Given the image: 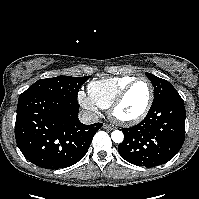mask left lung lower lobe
<instances>
[{
    "label": "left lung lower lobe",
    "instance_id": "obj_1",
    "mask_svg": "<svg viewBox=\"0 0 199 199\" xmlns=\"http://www.w3.org/2000/svg\"><path fill=\"white\" fill-rule=\"evenodd\" d=\"M185 107L180 95L152 104L142 122L123 128L118 146L123 159L137 166L155 167L172 159L185 138Z\"/></svg>",
    "mask_w": 199,
    "mask_h": 199
}]
</instances>
